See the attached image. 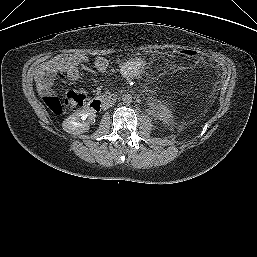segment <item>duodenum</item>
<instances>
[{
	"instance_id": "410a0bca",
	"label": "duodenum",
	"mask_w": 257,
	"mask_h": 257,
	"mask_svg": "<svg viewBox=\"0 0 257 257\" xmlns=\"http://www.w3.org/2000/svg\"><path fill=\"white\" fill-rule=\"evenodd\" d=\"M117 100V95L114 93H104L89 101L88 107L92 111L98 112L104 108L110 107Z\"/></svg>"
}]
</instances>
